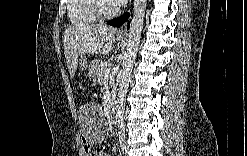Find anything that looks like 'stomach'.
<instances>
[{"instance_id": "1", "label": "stomach", "mask_w": 247, "mask_h": 156, "mask_svg": "<svg viewBox=\"0 0 247 156\" xmlns=\"http://www.w3.org/2000/svg\"><path fill=\"white\" fill-rule=\"evenodd\" d=\"M120 37V36H119ZM99 61H93L90 65H88V61L87 59H85L84 57L80 58L79 60V66L81 70H85L87 68L91 70H93L95 68V64L98 63Z\"/></svg>"}]
</instances>
